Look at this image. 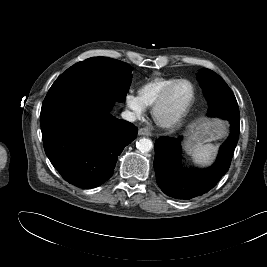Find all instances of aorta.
<instances>
[{"instance_id": "aorta-1", "label": "aorta", "mask_w": 267, "mask_h": 267, "mask_svg": "<svg viewBox=\"0 0 267 267\" xmlns=\"http://www.w3.org/2000/svg\"><path fill=\"white\" fill-rule=\"evenodd\" d=\"M136 147L140 152L147 153L152 149L153 143L148 138H142L136 143Z\"/></svg>"}]
</instances>
